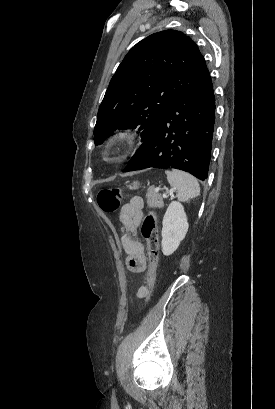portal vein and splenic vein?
Listing matches in <instances>:
<instances>
[{
    "label": "portal vein and splenic vein",
    "instance_id": "obj_1",
    "mask_svg": "<svg viewBox=\"0 0 275 409\" xmlns=\"http://www.w3.org/2000/svg\"><path fill=\"white\" fill-rule=\"evenodd\" d=\"M155 190H160L159 186H157V188H155ZM163 196H164V198H166V192H164ZM171 196H173V194H171Z\"/></svg>",
    "mask_w": 275,
    "mask_h": 409
}]
</instances>
